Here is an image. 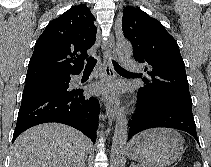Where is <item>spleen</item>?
I'll list each match as a JSON object with an SVG mask.
<instances>
[{
  "label": "spleen",
  "mask_w": 211,
  "mask_h": 167,
  "mask_svg": "<svg viewBox=\"0 0 211 167\" xmlns=\"http://www.w3.org/2000/svg\"><path fill=\"white\" fill-rule=\"evenodd\" d=\"M194 167H201V165H200L199 162H196V163L194 164Z\"/></svg>",
  "instance_id": "1"
}]
</instances>
